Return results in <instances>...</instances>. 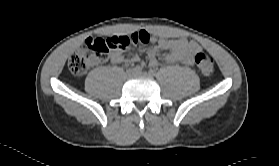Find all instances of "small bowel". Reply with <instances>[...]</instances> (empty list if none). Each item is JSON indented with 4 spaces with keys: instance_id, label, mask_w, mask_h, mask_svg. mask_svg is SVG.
<instances>
[{
    "instance_id": "c3829d8e",
    "label": "small bowel",
    "mask_w": 279,
    "mask_h": 166,
    "mask_svg": "<svg viewBox=\"0 0 279 166\" xmlns=\"http://www.w3.org/2000/svg\"><path fill=\"white\" fill-rule=\"evenodd\" d=\"M129 37L137 39V42H141V36H145L146 41L144 43H152L155 47L148 51V65L155 68L159 62L157 59V53L160 51H168L166 60L169 63L182 62L185 65H192L194 55L200 50V46L195 41H190L184 38L180 39H164L151 36L147 31L140 30L134 32ZM135 44V43H134ZM123 49H113L110 53V60L113 64H120L124 62ZM140 61L139 55L131 57L130 62L136 63Z\"/></svg>"
}]
</instances>
